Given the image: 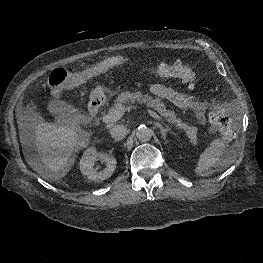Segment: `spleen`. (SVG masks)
Masks as SVG:
<instances>
[{"mask_svg":"<svg viewBox=\"0 0 263 263\" xmlns=\"http://www.w3.org/2000/svg\"><path fill=\"white\" fill-rule=\"evenodd\" d=\"M234 162L233 151L225 142L216 138L211 141L210 145L201 153L195 168L198 176H205L210 168L223 170Z\"/></svg>","mask_w":263,"mask_h":263,"instance_id":"obj_1","label":"spleen"}]
</instances>
